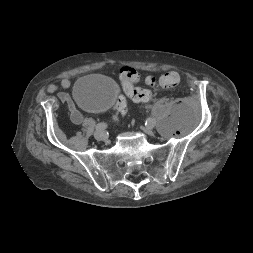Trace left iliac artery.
Masks as SVG:
<instances>
[{"mask_svg": "<svg viewBox=\"0 0 253 253\" xmlns=\"http://www.w3.org/2000/svg\"><path fill=\"white\" fill-rule=\"evenodd\" d=\"M146 126H155L156 125V120L154 118H148L146 120V123H145Z\"/></svg>", "mask_w": 253, "mask_h": 253, "instance_id": "obj_1", "label": "left iliac artery"}]
</instances>
